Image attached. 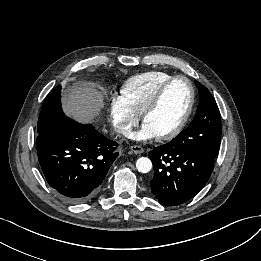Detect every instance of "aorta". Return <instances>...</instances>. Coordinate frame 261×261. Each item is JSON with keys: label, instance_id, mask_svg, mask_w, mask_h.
<instances>
[{"label": "aorta", "instance_id": "1", "mask_svg": "<svg viewBox=\"0 0 261 261\" xmlns=\"http://www.w3.org/2000/svg\"><path fill=\"white\" fill-rule=\"evenodd\" d=\"M136 168L141 173H148L152 169V162L147 157H140L136 161Z\"/></svg>", "mask_w": 261, "mask_h": 261}]
</instances>
